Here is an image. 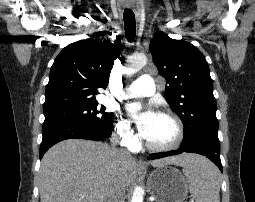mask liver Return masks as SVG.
<instances>
[{
    "label": "liver",
    "instance_id": "6515ba94",
    "mask_svg": "<svg viewBox=\"0 0 255 202\" xmlns=\"http://www.w3.org/2000/svg\"><path fill=\"white\" fill-rule=\"evenodd\" d=\"M195 155L181 154L150 161L154 166L186 167ZM136 162L102 142L68 139L50 148L41 161V202H103L112 184L128 188Z\"/></svg>",
    "mask_w": 255,
    "mask_h": 202
}]
</instances>
